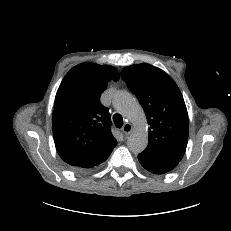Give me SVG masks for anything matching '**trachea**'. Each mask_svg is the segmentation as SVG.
Here are the masks:
<instances>
[{
	"mask_svg": "<svg viewBox=\"0 0 231 231\" xmlns=\"http://www.w3.org/2000/svg\"><path fill=\"white\" fill-rule=\"evenodd\" d=\"M113 121H114L117 128H121L123 126V118L121 115L114 114L113 115Z\"/></svg>",
	"mask_w": 231,
	"mask_h": 231,
	"instance_id": "1",
	"label": "trachea"
}]
</instances>
